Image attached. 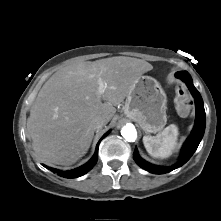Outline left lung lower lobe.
<instances>
[{
	"label": "left lung lower lobe",
	"mask_w": 221,
	"mask_h": 221,
	"mask_svg": "<svg viewBox=\"0 0 221 221\" xmlns=\"http://www.w3.org/2000/svg\"><path fill=\"white\" fill-rule=\"evenodd\" d=\"M175 77L181 79L182 81L186 83L187 87L189 88L190 92L192 93L195 99L196 120H195L194 128L190 136L187 138L186 142L184 143L182 147L179 162L172 166L164 167V166H157V165L148 163L139 156L137 148H135V151L133 154V158L135 162L141 168L154 174L168 173L184 165L194 154L205 131L206 116H205L203 100L198 90L194 87L191 76L185 71H180L175 74Z\"/></svg>",
	"instance_id": "obj_1"
}]
</instances>
